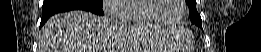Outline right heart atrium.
Listing matches in <instances>:
<instances>
[{"mask_svg":"<svg viewBox=\"0 0 261 52\" xmlns=\"http://www.w3.org/2000/svg\"><path fill=\"white\" fill-rule=\"evenodd\" d=\"M127 0H104L102 3V9L105 15L110 17H124L123 12H121L117 7Z\"/></svg>","mask_w":261,"mask_h":52,"instance_id":"right-heart-atrium-1","label":"right heart atrium"}]
</instances>
